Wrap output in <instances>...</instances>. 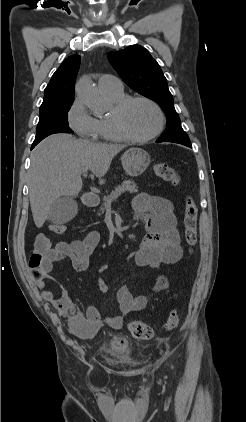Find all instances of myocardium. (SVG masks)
I'll list each match as a JSON object with an SVG mask.
<instances>
[{
	"instance_id": "f54148a6",
	"label": "myocardium",
	"mask_w": 246,
	"mask_h": 422,
	"mask_svg": "<svg viewBox=\"0 0 246 422\" xmlns=\"http://www.w3.org/2000/svg\"><path fill=\"white\" fill-rule=\"evenodd\" d=\"M136 101H142L151 105L156 110L159 117L158 126L155 129V131L144 137H138L132 134L130 130L127 128L124 121V113L126 109L133 102H136ZM111 119L116 129L118 130V132L122 135V137L125 140L134 142V143H145L150 140H153L163 131L164 126H165V115L162 108L154 100L145 96H125L123 99L115 103L113 113L111 115Z\"/></svg>"
}]
</instances>
